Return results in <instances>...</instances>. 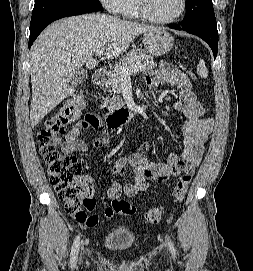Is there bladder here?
Instances as JSON below:
<instances>
[{
  "label": "bladder",
  "instance_id": "obj_1",
  "mask_svg": "<svg viewBox=\"0 0 253 271\" xmlns=\"http://www.w3.org/2000/svg\"><path fill=\"white\" fill-rule=\"evenodd\" d=\"M137 241L136 233L126 226H116L104 234L101 245L112 252H125Z\"/></svg>",
  "mask_w": 253,
  "mask_h": 271
}]
</instances>
